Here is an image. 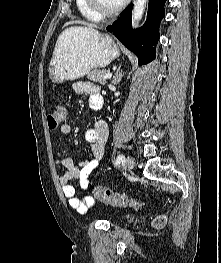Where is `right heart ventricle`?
Listing matches in <instances>:
<instances>
[{"mask_svg":"<svg viewBox=\"0 0 221 263\" xmlns=\"http://www.w3.org/2000/svg\"><path fill=\"white\" fill-rule=\"evenodd\" d=\"M76 6L80 14L86 19L91 21H99L101 19L93 11L89 9L86 0H76Z\"/></svg>","mask_w":221,"mask_h":263,"instance_id":"e07e8e85","label":"right heart ventricle"}]
</instances>
